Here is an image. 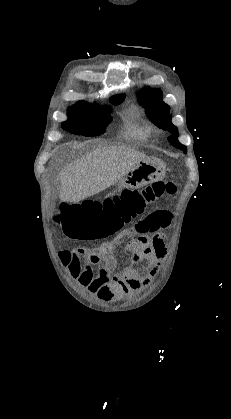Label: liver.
I'll return each instance as SVG.
<instances>
[{"label":"liver","mask_w":231,"mask_h":419,"mask_svg":"<svg viewBox=\"0 0 231 419\" xmlns=\"http://www.w3.org/2000/svg\"><path fill=\"white\" fill-rule=\"evenodd\" d=\"M147 156L124 146H104L67 165L59 174V198L78 203L117 183Z\"/></svg>","instance_id":"liver-1"}]
</instances>
